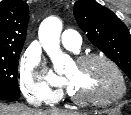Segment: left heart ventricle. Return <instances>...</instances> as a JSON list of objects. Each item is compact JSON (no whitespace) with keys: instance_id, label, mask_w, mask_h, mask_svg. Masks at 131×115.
Wrapping results in <instances>:
<instances>
[{"instance_id":"b2bd125f","label":"left heart ventricle","mask_w":131,"mask_h":115,"mask_svg":"<svg viewBox=\"0 0 131 115\" xmlns=\"http://www.w3.org/2000/svg\"><path fill=\"white\" fill-rule=\"evenodd\" d=\"M74 94L86 98H108L119 89L114 70L106 63L95 60L85 65L75 63L65 73Z\"/></svg>"}]
</instances>
